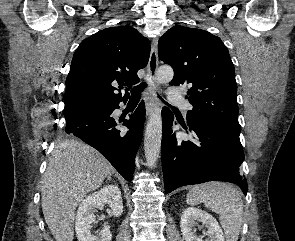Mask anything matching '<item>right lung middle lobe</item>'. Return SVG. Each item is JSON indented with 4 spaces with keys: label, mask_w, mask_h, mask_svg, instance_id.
Wrapping results in <instances>:
<instances>
[{
    "label": "right lung middle lobe",
    "mask_w": 295,
    "mask_h": 241,
    "mask_svg": "<svg viewBox=\"0 0 295 241\" xmlns=\"http://www.w3.org/2000/svg\"><path fill=\"white\" fill-rule=\"evenodd\" d=\"M77 113H73V114H66L65 115V119L68 120V119H71L73 116H75Z\"/></svg>",
    "instance_id": "dd1d6c3e"
}]
</instances>
